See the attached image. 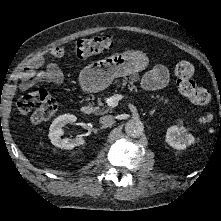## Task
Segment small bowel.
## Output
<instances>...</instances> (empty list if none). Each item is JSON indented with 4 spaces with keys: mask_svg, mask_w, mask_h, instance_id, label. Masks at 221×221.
Returning <instances> with one entry per match:
<instances>
[{
    "mask_svg": "<svg viewBox=\"0 0 221 221\" xmlns=\"http://www.w3.org/2000/svg\"><path fill=\"white\" fill-rule=\"evenodd\" d=\"M65 54L63 47H57L49 51L50 57H62ZM169 80V73L165 66L156 65L142 80L146 89L156 90L165 87ZM65 81L64 75L59 67L53 63H46L45 56L33 58L25 67L20 83L22 90L32 88L38 83H52L61 85Z\"/></svg>",
    "mask_w": 221,
    "mask_h": 221,
    "instance_id": "obj_1",
    "label": "small bowel"
}]
</instances>
